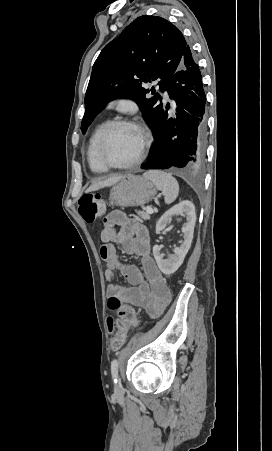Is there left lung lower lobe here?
<instances>
[{
  "label": "left lung lower lobe",
  "mask_w": 272,
  "mask_h": 451,
  "mask_svg": "<svg viewBox=\"0 0 272 451\" xmlns=\"http://www.w3.org/2000/svg\"><path fill=\"white\" fill-rule=\"evenodd\" d=\"M166 90L177 106L176 117H169L162 110L155 125L150 158L142 168L193 169L205 159L206 95L189 45Z\"/></svg>",
  "instance_id": "1"
}]
</instances>
